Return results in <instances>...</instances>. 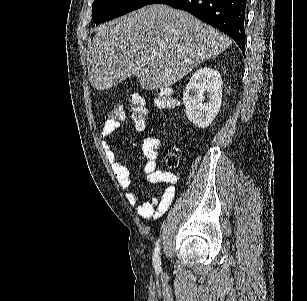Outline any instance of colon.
Here are the masks:
<instances>
[{
  "label": "colon",
  "mask_w": 307,
  "mask_h": 301,
  "mask_svg": "<svg viewBox=\"0 0 307 301\" xmlns=\"http://www.w3.org/2000/svg\"><path fill=\"white\" fill-rule=\"evenodd\" d=\"M128 103L131 106L130 123L136 130H144L148 119V108L145 99L138 93L132 94ZM155 105L159 109H173L177 107L178 101L171 88L165 87L160 89L155 98ZM126 119V112L123 106L112 107L105 116V121L110 123H120ZM166 164L170 168L178 165V157L169 153L165 157Z\"/></svg>",
  "instance_id": "obj_1"
}]
</instances>
